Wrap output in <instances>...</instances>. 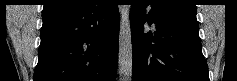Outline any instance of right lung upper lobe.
Listing matches in <instances>:
<instances>
[{
  "mask_svg": "<svg viewBox=\"0 0 237 81\" xmlns=\"http://www.w3.org/2000/svg\"><path fill=\"white\" fill-rule=\"evenodd\" d=\"M86 0H46L42 11V17L73 10L81 6Z\"/></svg>",
  "mask_w": 237,
  "mask_h": 81,
  "instance_id": "right-lung-upper-lobe-1",
  "label": "right lung upper lobe"
}]
</instances>
